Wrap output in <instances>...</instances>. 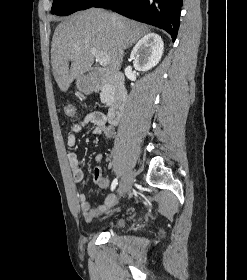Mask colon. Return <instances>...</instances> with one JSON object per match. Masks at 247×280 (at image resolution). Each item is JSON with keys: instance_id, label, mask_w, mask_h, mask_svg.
<instances>
[{"instance_id": "colon-1", "label": "colon", "mask_w": 247, "mask_h": 280, "mask_svg": "<svg viewBox=\"0 0 247 280\" xmlns=\"http://www.w3.org/2000/svg\"><path fill=\"white\" fill-rule=\"evenodd\" d=\"M64 114L68 118H75L77 116V108L74 102H67L64 106Z\"/></svg>"}]
</instances>
